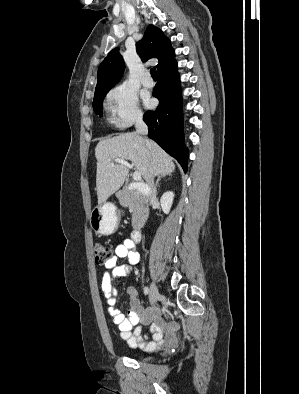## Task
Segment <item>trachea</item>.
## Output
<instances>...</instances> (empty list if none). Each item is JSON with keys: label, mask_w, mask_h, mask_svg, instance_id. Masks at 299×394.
<instances>
[{"label": "trachea", "mask_w": 299, "mask_h": 394, "mask_svg": "<svg viewBox=\"0 0 299 394\" xmlns=\"http://www.w3.org/2000/svg\"><path fill=\"white\" fill-rule=\"evenodd\" d=\"M150 73H151V76H152L153 79H157V72H156L155 68H152L150 70Z\"/></svg>", "instance_id": "obj_1"}]
</instances>
